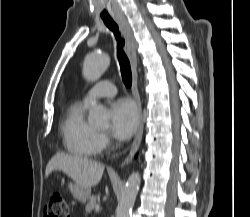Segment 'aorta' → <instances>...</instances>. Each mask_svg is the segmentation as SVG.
I'll list each match as a JSON object with an SVG mask.
<instances>
[{
  "label": "aorta",
  "instance_id": "aorta-1",
  "mask_svg": "<svg viewBox=\"0 0 250 217\" xmlns=\"http://www.w3.org/2000/svg\"><path fill=\"white\" fill-rule=\"evenodd\" d=\"M109 65V57L105 53L93 52L85 57L83 64V75L88 81L98 80ZM90 121L99 126L108 124V113L103 105H96L94 111L90 115ZM140 186V175L138 172L132 173L124 187L122 195L119 199L116 217H130L134 206L136 196Z\"/></svg>",
  "mask_w": 250,
  "mask_h": 217
}]
</instances>
